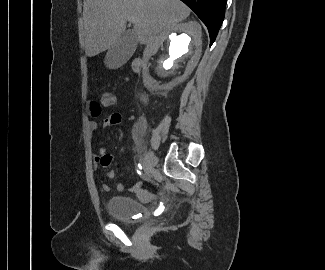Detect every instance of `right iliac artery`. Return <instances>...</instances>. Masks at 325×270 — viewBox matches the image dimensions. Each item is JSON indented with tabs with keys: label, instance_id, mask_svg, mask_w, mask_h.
Masks as SVG:
<instances>
[{
	"label": "right iliac artery",
	"instance_id": "82829eb1",
	"mask_svg": "<svg viewBox=\"0 0 325 270\" xmlns=\"http://www.w3.org/2000/svg\"><path fill=\"white\" fill-rule=\"evenodd\" d=\"M151 155H152L151 151L147 152L145 155V161L148 160L151 157Z\"/></svg>",
	"mask_w": 325,
	"mask_h": 270
}]
</instances>
